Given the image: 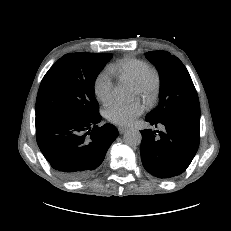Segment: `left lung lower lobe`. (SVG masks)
I'll list each match as a JSON object with an SVG mask.
<instances>
[{
  "label": "left lung lower lobe",
  "mask_w": 231,
  "mask_h": 231,
  "mask_svg": "<svg viewBox=\"0 0 231 231\" xmlns=\"http://www.w3.org/2000/svg\"><path fill=\"white\" fill-rule=\"evenodd\" d=\"M163 131H141V159L147 172L158 178H171L183 173L193 160L200 139V114H185L153 120Z\"/></svg>",
  "instance_id": "1"
}]
</instances>
